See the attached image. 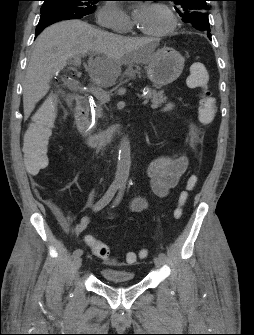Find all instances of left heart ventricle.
<instances>
[{
  "label": "left heart ventricle",
  "instance_id": "1",
  "mask_svg": "<svg viewBox=\"0 0 254 335\" xmlns=\"http://www.w3.org/2000/svg\"><path fill=\"white\" fill-rule=\"evenodd\" d=\"M169 24L170 20L166 13L159 8L151 6L147 17L139 26L142 30L149 33H157L167 29Z\"/></svg>",
  "mask_w": 254,
  "mask_h": 335
}]
</instances>
